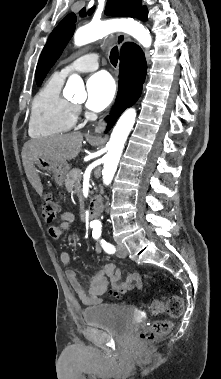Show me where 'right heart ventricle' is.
I'll use <instances>...</instances> for the list:
<instances>
[{"label": "right heart ventricle", "mask_w": 221, "mask_h": 379, "mask_svg": "<svg viewBox=\"0 0 221 379\" xmlns=\"http://www.w3.org/2000/svg\"><path fill=\"white\" fill-rule=\"evenodd\" d=\"M64 78L53 74L35 95L28 123L33 138L60 135L71 130L76 123L73 104L61 94Z\"/></svg>", "instance_id": "e07e8e85"}]
</instances>
